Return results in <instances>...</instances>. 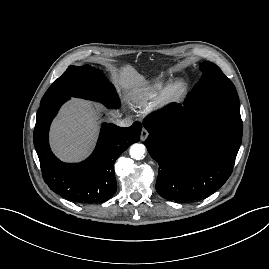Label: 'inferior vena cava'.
Returning <instances> with one entry per match:
<instances>
[{"instance_id":"1","label":"inferior vena cava","mask_w":269,"mask_h":269,"mask_svg":"<svg viewBox=\"0 0 269 269\" xmlns=\"http://www.w3.org/2000/svg\"><path fill=\"white\" fill-rule=\"evenodd\" d=\"M133 123L131 118H124L116 121V124L120 127H129Z\"/></svg>"}]
</instances>
